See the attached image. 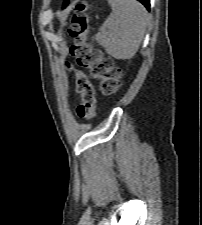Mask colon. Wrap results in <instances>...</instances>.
I'll list each match as a JSON object with an SVG mask.
<instances>
[{
  "label": "colon",
  "mask_w": 202,
  "mask_h": 225,
  "mask_svg": "<svg viewBox=\"0 0 202 225\" xmlns=\"http://www.w3.org/2000/svg\"><path fill=\"white\" fill-rule=\"evenodd\" d=\"M89 8L87 3L78 4L73 18L70 32L73 38L74 63L71 67L88 71V74L76 75L77 90L81 96L77 112L81 119L93 121L96 116V97L90 78L99 81V90L103 95L112 96L121 88L122 72L115 66L112 57L104 54L100 49L92 48L88 43Z\"/></svg>",
  "instance_id": "colon-1"
}]
</instances>
